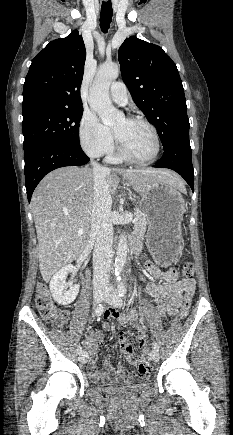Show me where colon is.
I'll list each match as a JSON object with an SVG mask.
<instances>
[{
  "instance_id": "1",
  "label": "colon",
  "mask_w": 233,
  "mask_h": 435,
  "mask_svg": "<svg viewBox=\"0 0 233 435\" xmlns=\"http://www.w3.org/2000/svg\"><path fill=\"white\" fill-rule=\"evenodd\" d=\"M193 274H194V264L192 262H187L182 266V275L183 280L186 285H190L193 282ZM35 305L42 316V318L49 324L53 326H61L64 324L68 317L69 313L66 310L56 308L51 300L49 289L46 284L39 283L36 287L35 291ZM191 307V294L189 291H186L183 295V305L178 316V319L183 318L188 313ZM146 354L142 353L137 364L138 373H142L150 370V365L145 361Z\"/></svg>"
}]
</instances>
